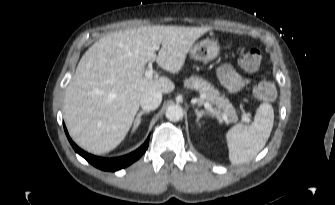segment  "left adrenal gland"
<instances>
[{
    "instance_id": "obj_1",
    "label": "left adrenal gland",
    "mask_w": 335,
    "mask_h": 205,
    "mask_svg": "<svg viewBox=\"0 0 335 205\" xmlns=\"http://www.w3.org/2000/svg\"><path fill=\"white\" fill-rule=\"evenodd\" d=\"M195 113L197 115V121H199L204 115H212L209 111L199 110L195 108Z\"/></svg>"
}]
</instances>
